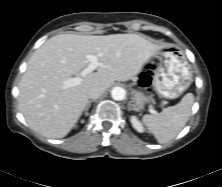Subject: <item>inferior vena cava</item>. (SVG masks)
I'll list each match as a JSON object with an SVG mask.
<instances>
[{
    "label": "inferior vena cava",
    "mask_w": 222,
    "mask_h": 187,
    "mask_svg": "<svg viewBox=\"0 0 222 187\" xmlns=\"http://www.w3.org/2000/svg\"><path fill=\"white\" fill-rule=\"evenodd\" d=\"M104 92H105V88L104 87L94 86V87L89 88L87 94H88L89 98L97 99L100 96H102L104 94Z\"/></svg>",
    "instance_id": "inferior-vena-cava-1"
}]
</instances>
